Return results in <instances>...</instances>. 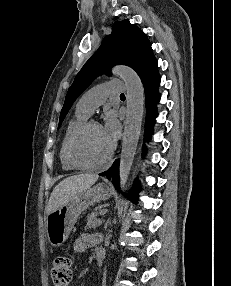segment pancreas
<instances>
[{
  "label": "pancreas",
  "instance_id": "cf45deb5",
  "mask_svg": "<svg viewBox=\"0 0 231 286\" xmlns=\"http://www.w3.org/2000/svg\"><path fill=\"white\" fill-rule=\"evenodd\" d=\"M98 213L92 212L90 215L87 216V223L85 226V230L92 229L100 226L103 223V219L97 218Z\"/></svg>",
  "mask_w": 231,
  "mask_h": 286
}]
</instances>
